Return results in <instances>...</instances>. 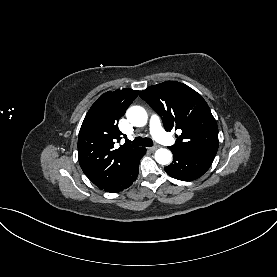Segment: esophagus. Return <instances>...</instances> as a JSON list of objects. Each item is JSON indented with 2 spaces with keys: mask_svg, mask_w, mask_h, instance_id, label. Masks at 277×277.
<instances>
[{
  "mask_svg": "<svg viewBox=\"0 0 277 277\" xmlns=\"http://www.w3.org/2000/svg\"><path fill=\"white\" fill-rule=\"evenodd\" d=\"M157 147H158L157 145L152 146V147H149V150H150V151H155V150L157 149Z\"/></svg>",
  "mask_w": 277,
  "mask_h": 277,
  "instance_id": "obj_1",
  "label": "esophagus"
}]
</instances>
